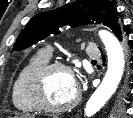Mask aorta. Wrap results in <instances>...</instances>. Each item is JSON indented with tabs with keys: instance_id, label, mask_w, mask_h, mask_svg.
<instances>
[{
	"instance_id": "762f6f07",
	"label": "aorta",
	"mask_w": 133,
	"mask_h": 118,
	"mask_svg": "<svg viewBox=\"0 0 133 118\" xmlns=\"http://www.w3.org/2000/svg\"><path fill=\"white\" fill-rule=\"evenodd\" d=\"M101 38L108 56V69L99 85L92 94L84 109L85 116L91 118L116 92L124 74L125 57L118 39L107 30H100Z\"/></svg>"
}]
</instances>
